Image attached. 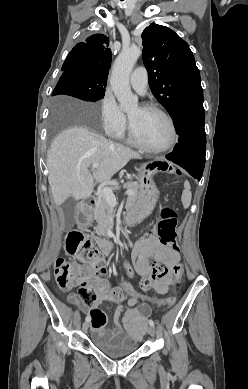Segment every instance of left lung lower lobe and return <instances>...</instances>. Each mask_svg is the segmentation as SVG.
I'll list each match as a JSON object with an SVG mask.
<instances>
[{"mask_svg": "<svg viewBox=\"0 0 248 389\" xmlns=\"http://www.w3.org/2000/svg\"><path fill=\"white\" fill-rule=\"evenodd\" d=\"M179 140L173 152L166 158L200 180L205 165L206 133L203 96L189 99L181 104L171 116Z\"/></svg>", "mask_w": 248, "mask_h": 389, "instance_id": "1", "label": "left lung lower lobe"}]
</instances>
